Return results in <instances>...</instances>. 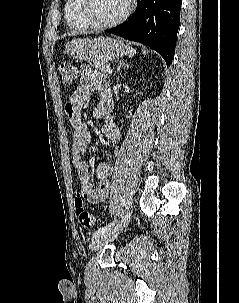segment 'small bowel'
<instances>
[{"label": "small bowel", "mask_w": 239, "mask_h": 303, "mask_svg": "<svg viewBox=\"0 0 239 303\" xmlns=\"http://www.w3.org/2000/svg\"><path fill=\"white\" fill-rule=\"evenodd\" d=\"M80 72V85L65 105V112L72 127V163L77 170L79 189L84 199L90 203H99L104 201L109 194L112 167L108 162L100 163L96 168L98 184L94 186L91 183L89 166L83 155L92 141V136L82 122L80 112L94 92L99 96L96 116L109 113L113 107V100L109 83L100 73L94 72L87 65H83ZM102 134L110 143L116 144L120 140L118 127L110 121L102 126Z\"/></svg>", "instance_id": "1"}]
</instances>
